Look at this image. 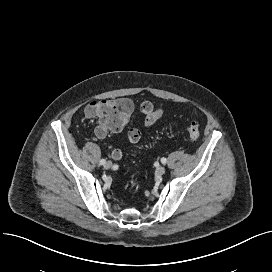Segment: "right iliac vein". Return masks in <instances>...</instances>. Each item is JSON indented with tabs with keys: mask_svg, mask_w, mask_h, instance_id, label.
Here are the masks:
<instances>
[{
	"mask_svg": "<svg viewBox=\"0 0 272 272\" xmlns=\"http://www.w3.org/2000/svg\"><path fill=\"white\" fill-rule=\"evenodd\" d=\"M111 166H112V163L111 162H106L105 164H104V168L106 169V170H108V169H110L111 168Z\"/></svg>",
	"mask_w": 272,
	"mask_h": 272,
	"instance_id": "right-iliac-vein-1",
	"label": "right iliac vein"
}]
</instances>
